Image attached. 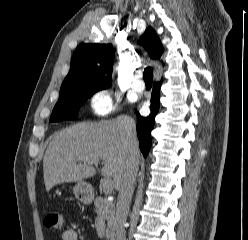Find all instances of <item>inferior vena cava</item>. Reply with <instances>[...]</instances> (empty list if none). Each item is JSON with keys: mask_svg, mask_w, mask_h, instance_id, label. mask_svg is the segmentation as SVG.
Here are the masks:
<instances>
[{"mask_svg": "<svg viewBox=\"0 0 248 240\" xmlns=\"http://www.w3.org/2000/svg\"><path fill=\"white\" fill-rule=\"evenodd\" d=\"M126 141L129 147V155L125 170L121 175L117 190L118 199L116 205V240H126L125 223L129 212L130 202L134 191L138 162L135 157V147L137 145L135 123L132 122L127 128Z\"/></svg>", "mask_w": 248, "mask_h": 240, "instance_id": "inferior-vena-cava-1", "label": "inferior vena cava"}]
</instances>
